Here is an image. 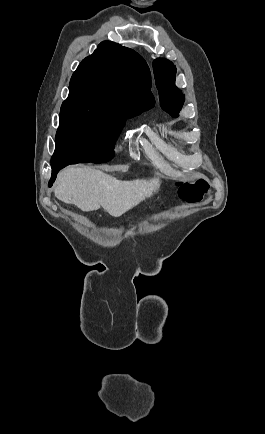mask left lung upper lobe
<instances>
[{"label": "left lung upper lobe", "mask_w": 265, "mask_h": 434, "mask_svg": "<svg viewBox=\"0 0 265 434\" xmlns=\"http://www.w3.org/2000/svg\"><path fill=\"white\" fill-rule=\"evenodd\" d=\"M153 70L161 107L172 117H178L185 97L175 85V65L167 59L157 58L153 61Z\"/></svg>", "instance_id": "1"}]
</instances>
